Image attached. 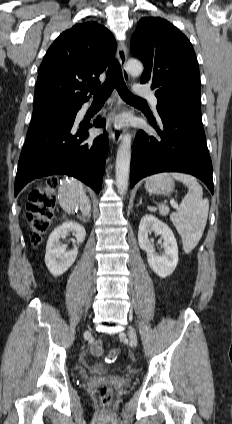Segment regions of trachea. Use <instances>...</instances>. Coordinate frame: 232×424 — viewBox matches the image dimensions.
<instances>
[{"instance_id": "trachea-1", "label": "trachea", "mask_w": 232, "mask_h": 424, "mask_svg": "<svg viewBox=\"0 0 232 424\" xmlns=\"http://www.w3.org/2000/svg\"><path fill=\"white\" fill-rule=\"evenodd\" d=\"M116 88L123 100L132 102V103H146L145 100L134 96L127 88L119 62L117 59H114L107 71L106 80L102 86L99 88L91 87L89 91L95 94V99L105 100L107 99L113 89Z\"/></svg>"}]
</instances>
